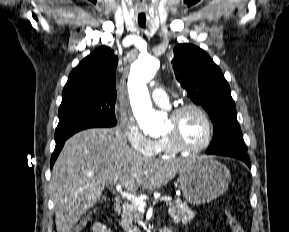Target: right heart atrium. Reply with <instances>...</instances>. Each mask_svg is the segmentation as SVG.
Wrapping results in <instances>:
<instances>
[{
	"label": "right heart atrium",
	"instance_id": "right-heart-atrium-1",
	"mask_svg": "<svg viewBox=\"0 0 289 232\" xmlns=\"http://www.w3.org/2000/svg\"><path fill=\"white\" fill-rule=\"evenodd\" d=\"M121 128L130 148L135 153L147 157L156 154L158 141L145 135L132 117H122Z\"/></svg>",
	"mask_w": 289,
	"mask_h": 232
}]
</instances>
